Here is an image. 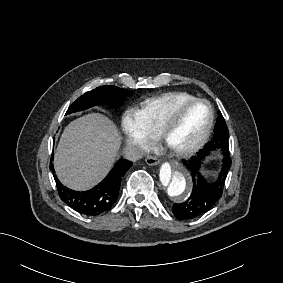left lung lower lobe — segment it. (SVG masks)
I'll use <instances>...</instances> for the list:
<instances>
[{"label":"left lung lower lobe","instance_id":"left-lung-lower-lobe-1","mask_svg":"<svg viewBox=\"0 0 283 283\" xmlns=\"http://www.w3.org/2000/svg\"><path fill=\"white\" fill-rule=\"evenodd\" d=\"M214 138L194 158L183 160L185 167L191 172L193 189L190 197L183 203L174 204L172 211L178 219H194L210 210L221 198L223 186L231 166L229 153V132L222 114L219 112L214 128ZM218 150L223 155L222 168L214 182H207L200 173L203 159L210 152Z\"/></svg>","mask_w":283,"mask_h":283}]
</instances>
